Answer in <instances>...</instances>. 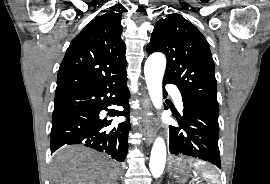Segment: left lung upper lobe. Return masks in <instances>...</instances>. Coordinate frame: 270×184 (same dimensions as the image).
Returning <instances> with one entry per match:
<instances>
[{
	"label": "left lung upper lobe",
	"instance_id": "1",
	"mask_svg": "<svg viewBox=\"0 0 270 184\" xmlns=\"http://www.w3.org/2000/svg\"><path fill=\"white\" fill-rule=\"evenodd\" d=\"M146 50L166 55L164 80L177 85L182 96L219 115L209 44L191 22L177 13L160 19Z\"/></svg>",
	"mask_w": 270,
	"mask_h": 184
}]
</instances>
